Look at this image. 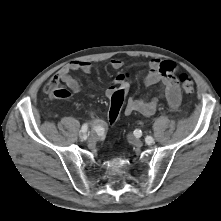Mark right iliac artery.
<instances>
[{
    "instance_id": "1",
    "label": "right iliac artery",
    "mask_w": 221,
    "mask_h": 221,
    "mask_svg": "<svg viewBox=\"0 0 221 221\" xmlns=\"http://www.w3.org/2000/svg\"><path fill=\"white\" fill-rule=\"evenodd\" d=\"M87 130H88V125L83 124V126L81 128V135H80L81 140H86L87 139Z\"/></svg>"
}]
</instances>
